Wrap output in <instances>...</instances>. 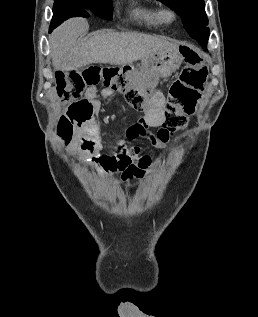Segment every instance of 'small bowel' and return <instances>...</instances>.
<instances>
[{
    "mask_svg": "<svg viewBox=\"0 0 258 317\" xmlns=\"http://www.w3.org/2000/svg\"><path fill=\"white\" fill-rule=\"evenodd\" d=\"M91 91L93 89L67 108L76 124L72 148L79 151L84 161L93 165L99 174L119 176L123 182L143 178L152 172L155 168L152 159L141 155V148L133 143L144 138L156 148H166L170 133L163 127L153 133L150 131L153 121L140 119L116 140L111 155H102L109 117H101L100 104L89 97Z\"/></svg>",
    "mask_w": 258,
    "mask_h": 317,
    "instance_id": "1",
    "label": "small bowel"
}]
</instances>
